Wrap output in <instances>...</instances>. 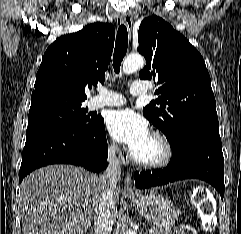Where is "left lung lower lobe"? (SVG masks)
I'll return each instance as SVG.
<instances>
[{
  "label": "left lung lower lobe",
  "mask_w": 241,
  "mask_h": 234,
  "mask_svg": "<svg viewBox=\"0 0 241 234\" xmlns=\"http://www.w3.org/2000/svg\"><path fill=\"white\" fill-rule=\"evenodd\" d=\"M137 188L164 185L182 179H201L224 196V159L220 137L191 135L184 138L173 150L166 168L135 173Z\"/></svg>",
  "instance_id": "1"
}]
</instances>
